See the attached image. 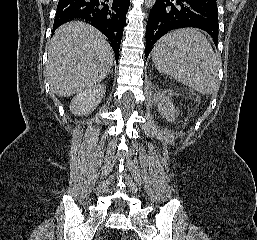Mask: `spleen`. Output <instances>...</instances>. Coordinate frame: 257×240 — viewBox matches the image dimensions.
<instances>
[{
	"instance_id": "spleen-1",
	"label": "spleen",
	"mask_w": 257,
	"mask_h": 240,
	"mask_svg": "<svg viewBox=\"0 0 257 240\" xmlns=\"http://www.w3.org/2000/svg\"><path fill=\"white\" fill-rule=\"evenodd\" d=\"M154 65L161 73L204 94L219 89V65L206 37L196 29H180L161 37L152 50Z\"/></svg>"
}]
</instances>
